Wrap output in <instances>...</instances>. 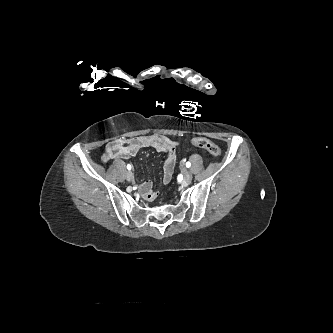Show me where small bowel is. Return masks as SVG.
<instances>
[{"instance_id":"c3829d8e","label":"small bowel","mask_w":333,"mask_h":333,"mask_svg":"<svg viewBox=\"0 0 333 333\" xmlns=\"http://www.w3.org/2000/svg\"><path fill=\"white\" fill-rule=\"evenodd\" d=\"M178 142L161 134L142 135L132 139H117L111 141L102 155L104 163L112 159H127L136 156L143 148H153L157 152L164 153L166 159L163 166L162 181L164 184L170 182L177 161L176 148ZM141 191L146 200L152 201L156 198L157 192L153 188L151 181H146L141 185Z\"/></svg>"}]
</instances>
